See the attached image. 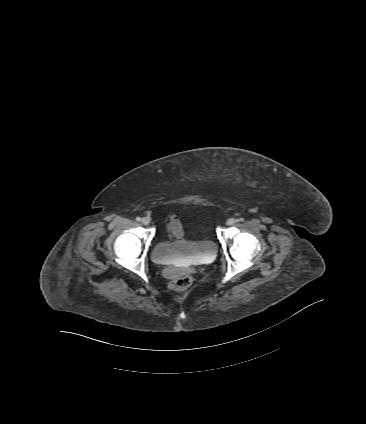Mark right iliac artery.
Masks as SVG:
<instances>
[{"label":"right iliac artery","mask_w":366,"mask_h":424,"mask_svg":"<svg viewBox=\"0 0 366 424\" xmlns=\"http://www.w3.org/2000/svg\"><path fill=\"white\" fill-rule=\"evenodd\" d=\"M136 221H138V222L141 221V218L140 217H137L136 218Z\"/></svg>","instance_id":"right-iliac-artery-1"}]
</instances>
